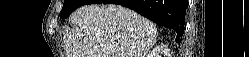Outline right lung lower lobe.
Here are the masks:
<instances>
[{"label": "right lung lower lobe", "instance_id": "1", "mask_svg": "<svg viewBox=\"0 0 249 57\" xmlns=\"http://www.w3.org/2000/svg\"><path fill=\"white\" fill-rule=\"evenodd\" d=\"M92 3L119 4L130 8L158 25L174 29L177 42L184 33L186 0H92Z\"/></svg>", "mask_w": 249, "mask_h": 57}]
</instances>
